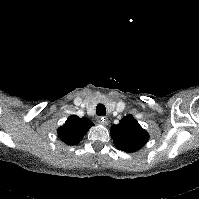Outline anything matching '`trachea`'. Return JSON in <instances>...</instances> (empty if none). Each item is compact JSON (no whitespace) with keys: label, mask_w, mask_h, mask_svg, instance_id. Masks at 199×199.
Listing matches in <instances>:
<instances>
[{"label":"trachea","mask_w":199,"mask_h":199,"mask_svg":"<svg viewBox=\"0 0 199 199\" xmlns=\"http://www.w3.org/2000/svg\"><path fill=\"white\" fill-rule=\"evenodd\" d=\"M96 114L98 116L106 115V107L103 104H98L96 107Z\"/></svg>","instance_id":"trachea-1"}]
</instances>
